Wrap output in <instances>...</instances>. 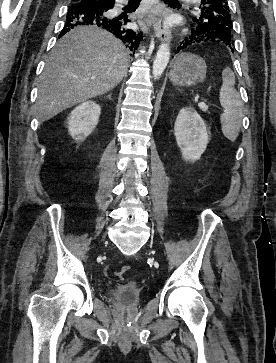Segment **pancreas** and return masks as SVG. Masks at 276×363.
<instances>
[{"label":"pancreas","mask_w":276,"mask_h":363,"mask_svg":"<svg viewBox=\"0 0 276 363\" xmlns=\"http://www.w3.org/2000/svg\"><path fill=\"white\" fill-rule=\"evenodd\" d=\"M207 109H208V108H204V109H202V110H203V111H207Z\"/></svg>","instance_id":"cf45deb5"}]
</instances>
